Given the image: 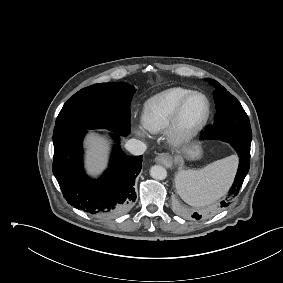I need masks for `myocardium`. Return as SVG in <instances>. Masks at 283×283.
<instances>
[{
	"label": "myocardium",
	"instance_id": "f54148a6",
	"mask_svg": "<svg viewBox=\"0 0 283 283\" xmlns=\"http://www.w3.org/2000/svg\"><path fill=\"white\" fill-rule=\"evenodd\" d=\"M193 96H200L203 98L205 103V111L202 118L197 124L188 129H183L181 126V115L187 101ZM210 111V101L204 93L195 90L188 92L177 104L170 122L165 129V135L168 143L172 146L177 147L187 144L191 140H193L206 125L210 116Z\"/></svg>",
	"mask_w": 283,
	"mask_h": 283
}]
</instances>
